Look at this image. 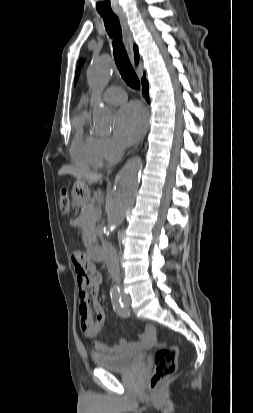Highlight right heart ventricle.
<instances>
[{
	"instance_id": "e07e8e85",
	"label": "right heart ventricle",
	"mask_w": 253,
	"mask_h": 413,
	"mask_svg": "<svg viewBox=\"0 0 253 413\" xmlns=\"http://www.w3.org/2000/svg\"><path fill=\"white\" fill-rule=\"evenodd\" d=\"M88 114L81 112L73 122L74 137L71 146V156L78 165L99 168L104 158L99 147V137L87 130Z\"/></svg>"
}]
</instances>
